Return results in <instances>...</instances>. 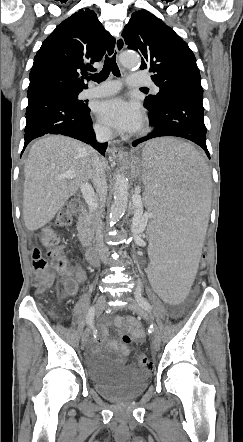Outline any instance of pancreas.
<instances>
[{"mask_svg": "<svg viewBox=\"0 0 243 442\" xmlns=\"http://www.w3.org/2000/svg\"><path fill=\"white\" fill-rule=\"evenodd\" d=\"M78 237L82 244H89L94 235V216L91 212H85L77 224Z\"/></svg>", "mask_w": 243, "mask_h": 442, "instance_id": "obj_1", "label": "pancreas"}]
</instances>
